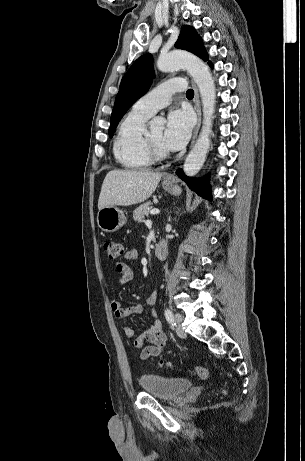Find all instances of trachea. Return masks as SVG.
I'll return each instance as SVG.
<instances>
[{
	"label": "trachea",
	"instance_id": "trachea-1",
	"mask_svg": "<svg viewBox=\"0 0 305 461\" xmlns=\"http://www.w3.org/2000/svg\"><path fill=\"white\" fill-rule=\"evenodd\" d=\"M186 96L188 98H192L194 96V91L192 89H188L186 92Z\"/></svg>",
	"mask_w": 305,
	"mask_h": 461
}]
</instances>
